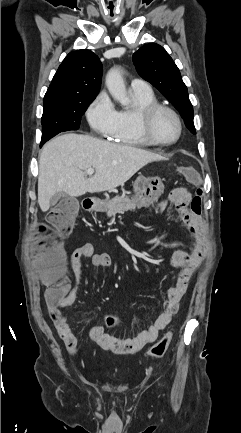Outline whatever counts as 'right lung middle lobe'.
Here are the masks:
<instances>
[{"label": "right lung middle lobe", "mask_w": 241, "mask_h": 433, "mask_svg": "<svg viewBox=\"0 0 241 433\" xmlns=\"http://www.w3.org/2000/svg\"><path fill=\"white\" fill-rule=\"evenodd\" d=\"M94 100H49L43 102L41 145L56 134L79 129L81 116Z\"/></svg>", "instance_id": "1"}]
</instances>
